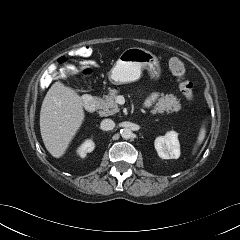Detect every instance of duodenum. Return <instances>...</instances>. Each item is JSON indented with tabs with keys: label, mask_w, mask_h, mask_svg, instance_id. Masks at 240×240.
Segmentation results:
<instances>
[{
	"label": "duodenum",
	"mask_w": 240,
	"mask_h": 240,
	"mask_svg": "<svg viewBox=\"0 0 240 240\" xmlns=\"http://www.w3.org/2000/svg\"><path fill=\"white\" fill-rule=\"evenodd\" d=\"M82 105L87 112H93L97 107V99L87 96L83 99Z\"/></svg>",
	"instance_id": "obj_1"
}]
</instances>
